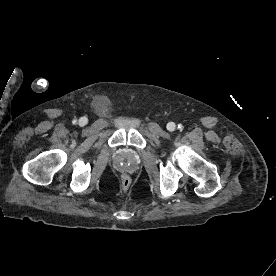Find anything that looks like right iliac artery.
<instances>
[{"label":"right iliac artery","instance_id":"1","mask_svg":"<svg viewBox=\"0 0 276 276\" xmlns=\"http://www.w3.org/2000/svg\"><path fill=\"white\" fill-rule=\"evenodd\" d=\"M72 123H73V124H76V123H77V120H76V119H74V120L72 121Z\"/></svg>","mask_w":276,"mask_h":276}]
</instances>
